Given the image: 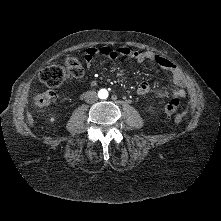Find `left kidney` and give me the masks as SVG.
<instances>
[{"label":"left kidney","mask_w":221,"mask_h":221,"mask_svg":"<svg viewBox=\"0 0 221 221\" xmlns=\"http://www.w3.org/2000/svg\"><path fill=\"white\" fill-rule=\"evenodd\" d=\"M149 110H150L151 113L154 112L153 107H151V106H149Z\"/></svg>","instance_id":"5707ae66"}]
</instances>
